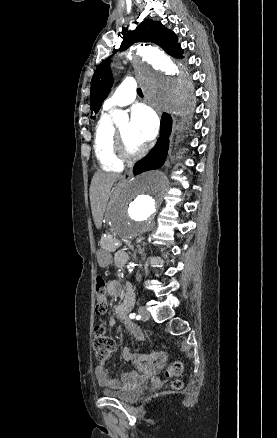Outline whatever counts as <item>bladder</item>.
I'll list each match as a JSON object with an SVG mask.
<instances>
[{
	"label": "bladder",
	"instance_id": "31cf9c89",
	"mask_svg": "<svg viewBox=\"0 0 277 438\" xmlns=\"http://www.w3.org/2000/svg\"><path fill=\"white\" fill-rule=\"evenodd\" d=\"M100 393L106 395L107 397H113L123 403L130 404L137 400L143 393V388L138 384H133L128 386L126 389H110L103 388Z\"/></svg>",
	"mask_w": 277,
	"mask_h": 438
}]
</instances>
